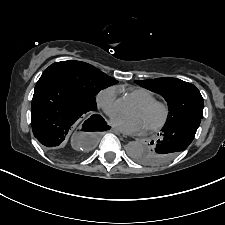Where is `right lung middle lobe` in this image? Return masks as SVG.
I'll return each mask as SVG.
<instances>
[{
  "instance_id": "obj_1",
  "label": "right lung middle lobe",
  "mask_w": 225,
  "mask_h": 225,
  "mask_svg": "<svg viewBox=\"0 0 225 225\" xmlns=\"http://www.w3.org/2000/svg\"><path fill=\"white\" fill-rule=\"evenodd\" d=\"M40 78L54 79L75 93L90 108L96 110L95 96L117 81L94 66L80 61H61L50 65Z\"/></svg>"
}]
</instances>
